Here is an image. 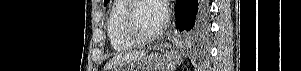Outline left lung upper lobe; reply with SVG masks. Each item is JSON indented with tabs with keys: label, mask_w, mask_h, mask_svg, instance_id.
<instances>
[{
	"label": "left lung upper lobe",
	"mask_w": 301,
	"mask_h": 71,
	"mask_svg": "<svg viewBox=\"0 0 301 71\" xmlns=\"http://www.w3.org/2000/svg\"><path fill=\"white\" fill-rule=\"evenodd\" d=\"M109 2V0H104V5H106ZM186 38L188 39V36L186 35Z\"/></svg>",
	"instance_id": "1"
}]
</instances>
